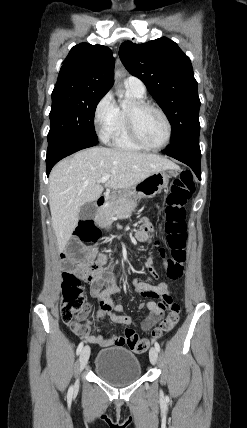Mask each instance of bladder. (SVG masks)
I'll return each instance as SVG.
<instances>
[{
  "mask_svg": "<svg viewBox=\"0 0 247 428\" xmlns=\"http://www.w3.org/2000/svg\"><path fill=\"white\" fill-rule=\"evenodd\" d=\"M94 371L98 377L115 386L131 384L142 375L137 355L121 346L100 350L95 358Z\"/></svg>",
  "mask_w": 247,
  "mask_h": 428,
  "instance_id": "31cf9c89",
  "label": "bladder"
}]
</instances>
